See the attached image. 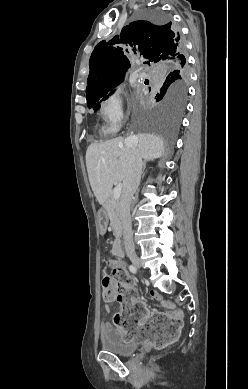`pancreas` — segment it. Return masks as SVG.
Listing matches in <instances>:
<instances>
[{
	"label": "pancreas",
	"instance_id": "pancreas-1",
	"mask_svg": "<svg viewBox=\"0 0 248 389\" xmlns=\"http://www.w3.org/2000/svg\"><path fill=\"white\" fill-rule=\"evenodd\" d=\"M104 214L107 220H110L114 227V234L117 239L122 234V225L119 214V199L113 197V192L110 193L109 197L103 205Z\"/></svg>",
	"mask_w": 248,
	"mask_h": 389
}]
</instances>
